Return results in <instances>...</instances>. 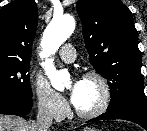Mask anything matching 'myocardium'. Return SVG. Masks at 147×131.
Wrapping results in <instances>:
<instances>
[{
	"mask_svg": "<svg viewBox=\"0 0 147 131\" xmlns=\"http://www.w3.org/2000/svg\"><path fill=\"white\" fill-rule=\"evenodd\" d=\"M83 78L93 80L99 85L101 90V101L98 104V106L92 110L82 111L78 109L76 106L74 110L77 116H79L80 118L92 119L102 115L103 113L107 111L112 100V92L106 78L98 72H95V71L87 72L83 75Z\"/></svg>",
	"mask_w": 147,
	"mask_h": 131,
	"instance_id": "1",
	"label": "myocardium"
}]
</instances>
